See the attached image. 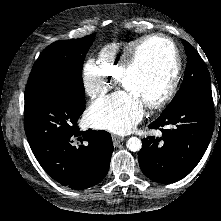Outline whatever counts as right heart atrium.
Listing matches in <instances>:
<instances>
[{
    "instance_id": "d8ad5b80",
    "label": "right heart atrium",
    "mask_w": 221,
    "mask_h": 221,
    "mask_svg": "<svg viewBox=\"0 0 221 221\" xmlns=\"http://www.w3.org/2000/svg\"><path fill=\"white\" fill-rule=\"evenodd\" d=\"M83 79L86 92L92 99L100 98L113 86V80L107 77L99 65L92 61L85 64Z\"/></svg>"
}]
</instances>
